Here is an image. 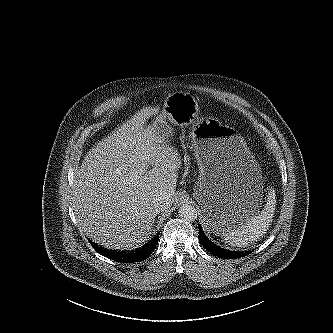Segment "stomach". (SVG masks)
I'll return each instance as SVG.
<instances>
[{
  "label": "stomach",
  "mask_w": 333,
  "mask_h": 333,
  "mask_svg": "<svg viewBox=\"0 0 333 333\" xmlns=\"http://www.w3.org/2000/svg\"><path fill=\"white\" fill-rule=\"evenodd\" d=\"M198 115V102L192 95L172 93L150 127L168 141L173 129L167 120L182 124ZM190 137L200 169L194 196L201 205V227L232 247L255 242L270 219V191L246 142L215 119L197 120Z\"/></svg>",
  "instance_id": "0dacf381"
}]
</instances>
